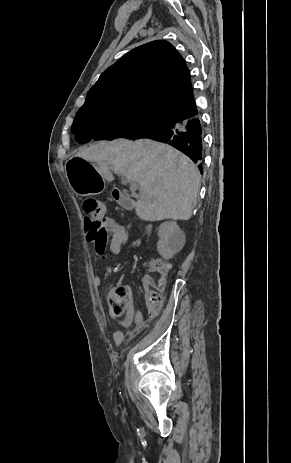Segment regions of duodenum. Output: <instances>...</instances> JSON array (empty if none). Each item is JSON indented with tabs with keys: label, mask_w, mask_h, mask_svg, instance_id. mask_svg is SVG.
Listing matches in <instances>:
<instances>
[{
	"label": "duodenum",
	"mask_w": 291,
	"mask_h": 463,
	"mask_svg": "<svg viewBox=\"0 0 291 463\" xmlns=\"http://www.w3.org/2000/svg\"><path fill=\"white\" fill-rule=\"evenodd\" d=\"M112 197L125 209H131L133 206L132 199L120 189H114L112 191Z\"/></svg>",
	"instance_id": "obj_1"
}]
</instances>
